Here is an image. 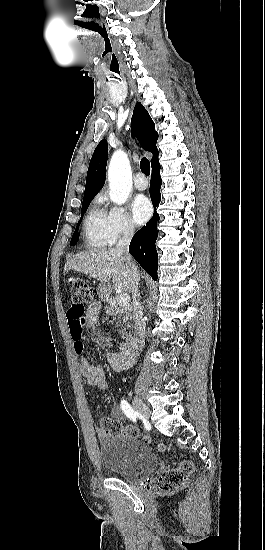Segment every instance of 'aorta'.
Segmentation results:
<instances>
[{
    "label": "aorta",
    "instance_id": "obj_1",
    "mask_svg": "<svg viewBox=\"0 0 265 550\" xmlns=\"http://www.w3.org/2000/svg\"><path fill=\"white\" fill-rule=\"evenodd\" d=\"M108 180L111 201L118 205L126 203L132 189V173L127 155L121 150L111 157Z\"/></svg>",
    "mask_w": 265,
    "mask_h": 550
}]
</instances>
